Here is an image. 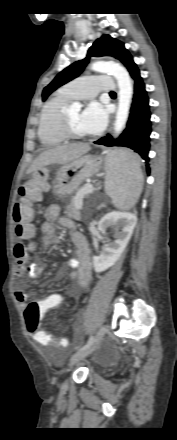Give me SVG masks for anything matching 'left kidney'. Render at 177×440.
<instances>
[{
	"instance_id": "5707ae66",
	"label": "left kidney",
	"mask_w": 177,
	"mask_h": 440,
	"mask_svg": "<svg viewBox=\"0 0 177 440\" xmlns=\"http://www.w3.org/2000/svg\"><path fill=\"white\" fill-rule=\"evenodd\" d=\"M134 227L135 221L131 214L113 211L102 217L99 222L100 230L105 233L108 228H113L116 239L113 243L105 245L99 256L93 257V265L97 273L105 271L118 261L131 238Z\"/></svg>"
}]
</instances>
